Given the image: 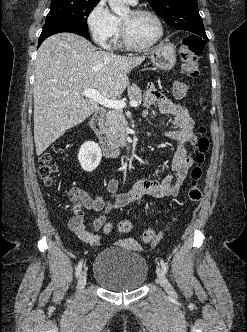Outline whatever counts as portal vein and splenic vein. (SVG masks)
Returning a JSON list of instances; mask_svg holds the SVG:
<instances>
[{
    "instance_id": "obj_1",
    "label": "portal vein and splenic vein",
    "mask_w": 247,
    "mask_h": 332,
    "mask_svg": "<svg viewBox=\"0 0 247 332\" xmlns=\"http://www.w3.org/2000/svg\"><path fill=\"white\" fill-rule=\"evenodd\" d=\"M82 94L85 97H88V98L96 101L100 105H103V106L108 107V108L122 109V108L126 107V102L124 100H116V99L106 98L103 95H101L96 89H92V88L84 89L82 91ZM130 106L138 107L139 102L133 100V101L130 102Z\"/></svg>"
}]
</instances>
